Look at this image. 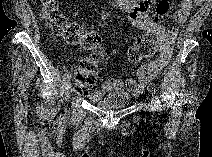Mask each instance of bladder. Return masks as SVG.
Returning <instances> with one entry per match:
<instances>
[{"mask_svg": "<svg viewBox=\"0 0 212 157\" xmlns=\"http://www.w3.org/2000/svg\"><path fill=\"white\" fill-rule=\"evenodd\" d=\"M132 98L125 92H114L95 101L94 105L101 109H122L129 105Z\"/></svg>", "mask_w": 212, "mask_h": 157, "instance_id": "bladder-1", "label": "bladder"}]
</instances>
